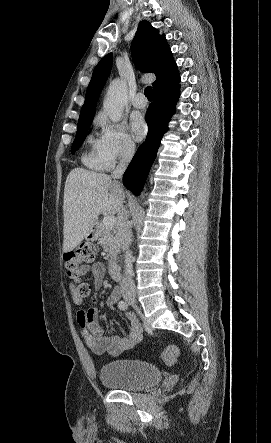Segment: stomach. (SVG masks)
I'll use <instances>...</instances> for the list:
<instances>
[{"label":"stomach","instance_id":"stomach-1","mask_svg":"<svg viewBox=\"0 0 271 443\" xmlns=\"http://www.w3.org/2000/svg\"><path fill=\"white\" fill-rule=\"evenodd\" d=\"M98 237L99 229L97 223L95 222L91 231H88V233H86L85 239H87V241H95V239H98Z\"/></svg>","mask_w":271,"mask_h":443}]
</instances>
